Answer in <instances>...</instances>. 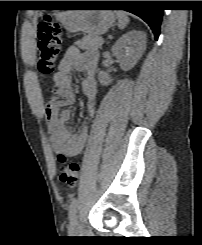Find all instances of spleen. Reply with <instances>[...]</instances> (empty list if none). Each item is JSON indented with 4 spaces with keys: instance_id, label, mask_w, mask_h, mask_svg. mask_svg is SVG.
Returning a JSON list of instances; mask_svg holds the SVG:
<instances>
[{
    "instance_id": "1",
    "label": "spleen",
    "mask_w": 202,
    "mask_h": 245,
    "mask_svg": "<svg viewBox=\"0 0 202 245\" xmlns=\"http://www.w3.org/2000/svg\"><path fill=\"white\" fill-rule=\"evenodd\" d=\"M116 16L118 18V27L124 29L129 23V18L124 11H116Z\"/></svg>"
}]
</instances>
